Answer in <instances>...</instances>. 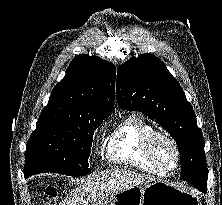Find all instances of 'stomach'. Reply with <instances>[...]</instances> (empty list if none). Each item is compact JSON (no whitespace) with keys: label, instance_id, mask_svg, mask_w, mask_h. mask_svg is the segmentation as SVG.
Segmentation results:
<instances>
[{"label":"stomach","instance_id":"stomach-1","mask_svg":"<svg viewBox=\"0 0 222 205\" xmlns=\"http://www.w3.org/2000/svg\"><path fill=\"white\" fill-rule=\"evenodd\" d=\"M92 205H201V200L195 191L181 189L158 180L145 187L118 191Z\"/></svg>","mask_w":222,"mask_h":205}]
</instances>
